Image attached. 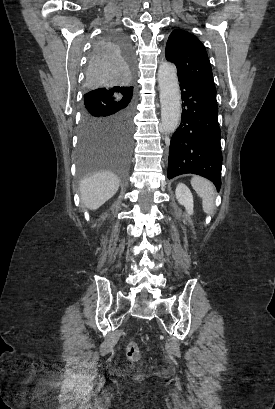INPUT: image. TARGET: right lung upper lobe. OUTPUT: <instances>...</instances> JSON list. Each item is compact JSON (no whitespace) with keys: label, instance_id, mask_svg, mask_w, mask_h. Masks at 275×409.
Listing matches in <instances>:
<instances>
[{"label":"right lung upper lobe","instance_id":"1","mask_svg":"<svg viewBox=\"0 0 275 409\" xmlns=\"http://www.w3.org/2000/svg\"><path fill=\"white\" fill-rule=\"evenodd\" d=\"M129 90L133 91V87L132 86H125L124 90H119V91H129Z\"/></svg>","mask_w":275,"mask_h":409}]
</instances>
